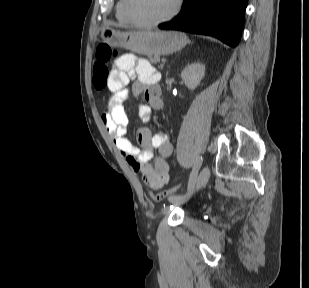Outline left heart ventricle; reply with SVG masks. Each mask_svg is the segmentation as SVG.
<instances>
[{
  "label": "left heart ventricle",
  "instance_id": "b2bd125f",
  "mask_svg": "<svg viewBox=\"0 0 309 288\" xmlns=\"http://www.w3.org/2000/svg\"><path fill=\"white\" fill-rule=\"evenodd\" d=\"M175 0H131L133 15L142 21H152L170 13Z\"/></svg>",
  "mask_w": 309,
  "mask_h": 288
}]
</instances>
